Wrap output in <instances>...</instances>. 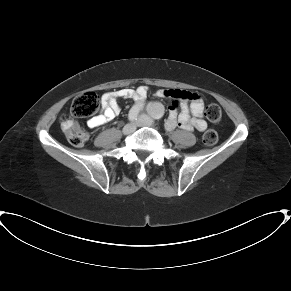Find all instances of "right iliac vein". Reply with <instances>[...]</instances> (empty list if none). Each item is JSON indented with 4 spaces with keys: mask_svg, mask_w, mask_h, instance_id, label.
Wrapping results in <instances>:
<instances>
[{
    "mask_svg": "<svg viewBox=\"0 0 291 291\" xmlns=\"http://www.w3.org/2000/svg\"><path fill=\"white\" fill-rule=\"evenodd\" d=\"M137 129V123H130L127 124L124 128H123V134H131L133 133L135 130Z\"/></svg>",
    "mask_w": 291,
    "mask_h": 291,
    "instance_id": "right-iliac-vein-1",
    "label": "right iliac vein"
}]
</instances>
